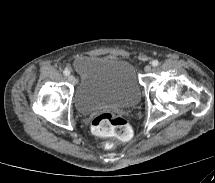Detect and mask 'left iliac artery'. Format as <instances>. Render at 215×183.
<instances>
[{
  "label": "left iliac artery",
  "instance_id": "left-iliac-artery-1",
  "mask_svg": "<svg viewBox=\"0 0 215 183\" xmlns=\"http://www.w3.org/2000/svg\"><path fill=\"white\" fill-rule=\"evenodd\" d=\"M151 64H152V66L156 67V66L159 65V61L158 60H153Z\"/></svg>",
  "mask_w": 215,
  "mask_h": 183
}]
</instances>
